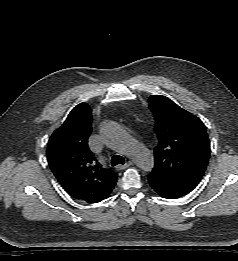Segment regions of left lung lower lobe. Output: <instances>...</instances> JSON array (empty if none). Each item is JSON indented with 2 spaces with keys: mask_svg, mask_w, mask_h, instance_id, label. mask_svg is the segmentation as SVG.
Here are the masks:
<instances>
[{
  "mask_svg": "<svg viewBox=\"0 0 238 261\" xmlns=\"http://www.w3.org/2000/svg\"><path fill=\"white\" fill-rule=\"evenodd\" d=\"M148 182L149 185L151 186V188L158 193L160 196L164 197V198H169V199H176L179 198L181 196H183V194L179 191H176L166 185H164L163 183L159 182L158 180L148 176Z\"/></svg>",
  "mask_w": 238,
  "mask_h": 261,
  "instance_id": "0a47b994",
  "label": "left lung lower lobe"
}]
</instances>
